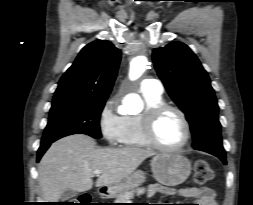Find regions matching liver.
Listing matches in <instances>:
<instances>
[{"mask_svg": "<svg viewBox=\"0 0 253 205\" xmlns=\"http://www.w3.org/2000/svg\"><path fill=\"white\" fill-rule=\"evenodd\" d=\"M154 154L138 147L97 148L95 140L84 134L61 138L50 146L38 166L43 199L58 202L67 189L90 190L95 170H102L96 187L118 183Z\"/></svg>", "mask_w": 253, "mask_h": 205, "instance_id": "6515ba94", "label": "liver"}]
</instances>
